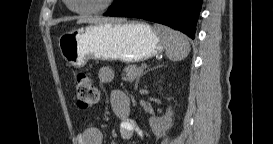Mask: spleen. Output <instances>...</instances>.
Returning a JSON list of instances; mask_svg holds the SVG:
<instances>
[{"mask_svg":"<svg viewBox=\"0 0 273 144\" xmlns=\"http://www.w3.org/2000/svg\"><path fill=\"white\" fill-rule=\"evenodd\" d=\"M154 29L163 41L170 60L181 61L188 56L190 45L183 33L162 25H154Z\"/></svg>","mask_w":273,"mask_h":144,"instance_id":"3e777b00","label":"spleen"}]
</instances>
